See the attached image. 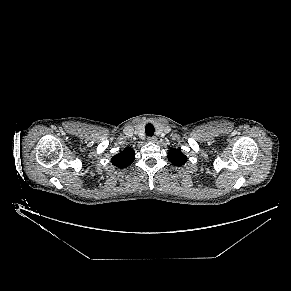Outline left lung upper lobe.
<instances>
[{
	"label": "left lung upper lobe",
	"mask_w": 291,
	"mask_h": 291,
	"mask_svg": "<svg viewBox=\"0 0 291 291\" xmlns=\"http://www.w3.org/2000/svg\"><path fill=\"white\" fill-rule=\"evenodd\" d=\"M169 161L175 166H182L186 163L187 157L179 149L172 148L168 152Z\"/></svg>",
	"instance_id": "5c2ea615"
}]
</instances>
